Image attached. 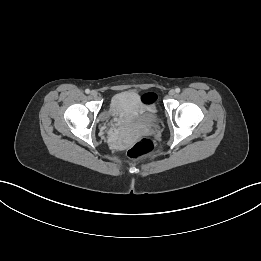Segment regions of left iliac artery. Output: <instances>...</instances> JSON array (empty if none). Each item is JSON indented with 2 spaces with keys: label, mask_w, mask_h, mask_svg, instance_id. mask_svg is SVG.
<instances>
[{
  "label": "left iliac artery",
  "mask_w": 261,
  "mask_h": 261,
  "mask_svg": "<svg viewBox=\"0 0 261 261\" xmlns=\"http://www.w3.org/2000/svg\"><path fill=\"white\" fill-rule=\"evenodd\" d=\"M175 92H176V93H179V92H180V88H176V89H175Z\"/></svg>",
  "instance_id": "44dca946"
}]
</instances>
